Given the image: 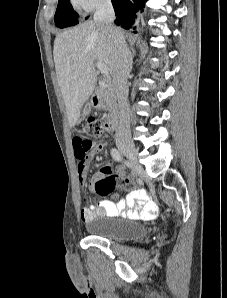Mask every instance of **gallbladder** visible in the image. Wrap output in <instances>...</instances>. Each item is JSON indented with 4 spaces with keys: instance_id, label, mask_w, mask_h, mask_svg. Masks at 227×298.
Here are the masks:
<instances>
[{
    "instance_id": "bac80fb5",
    "label": "gallbladder",
    "mask_w": 227,
    "mask_h": 298,
    "mask_svg": "<svg viewBox=\"0 0 227 298\" xmlns=\"http://www.w3.org/2000/svg\"><path fill=\"white\" fill-rule=\"evenodd\" d=\"M91 112V104L87 103L84 107L83 113H82V118L84 119L86 116H88Z\"/></svg>"
}]
</instances>
